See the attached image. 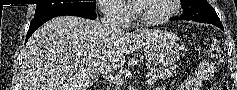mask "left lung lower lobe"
Here are the masks:
<instances>
[{"mask_svg":"<svg viewBox=\"0 0 237 90\" xmlns=\"http://www.w3.org/2000/svg\"><path fill=\"white\" fill-rule=\"evenodd\" d=\"M181 19H182L181 17H174V18H172L171 20H181ZM183 20H184V19H183ZM215 26L219 27L221 30L224 31L222 24H221V25H215Z\"/></svg>","mask_w":237,"mask_h":90,"instance_id":"obj_1","label":"left lung lower lobe"}]
</instances>
